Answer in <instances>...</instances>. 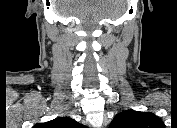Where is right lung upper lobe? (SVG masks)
I'll return each instance as SVG.
<instances>
[{"instance_id": "right-lung-upper-lobe-1", "label": "right lung upper lobe", "mask_w": 177, "mask_h": 128, "mask_svg": "<svg viewBox=\"0 0 177 128\" xmlns=\"http://www.w3.org/2000/svg\"><path fill=\"white\" fill-rule=\"evenodd\" d=\"M38 128H83L84 126L68 117H58L43 124H37Z\"/></svg>"}]
</instances>
